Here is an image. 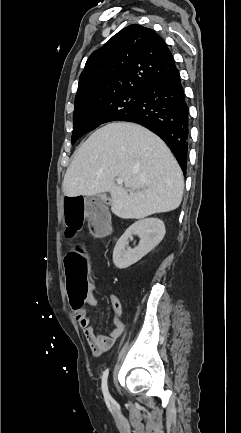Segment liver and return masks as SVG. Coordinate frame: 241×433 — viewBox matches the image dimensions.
I'll return each mask as SVG.
<instances>
[{
	"label": "liver",
	"mask_w": 241,
	"mask_h": 433,
	"mask_svg": "<svg viewBox=\"0 0 241 433\" xmlns=\"http://www.w3.org/2000/svg\"><path fill=\"white\" fill-rule=\"evenodd\" d=\"M115 178H122L124 186L116 184ZM62 188L67 197L109 192L113 214L141 219L177 209L184 179L157 135L134 123L113 122L96 130L76 150Z\"/></svg>",
	"instance_id": "6515ba94"
}]
</instances>
